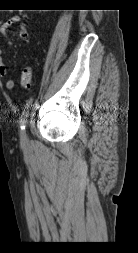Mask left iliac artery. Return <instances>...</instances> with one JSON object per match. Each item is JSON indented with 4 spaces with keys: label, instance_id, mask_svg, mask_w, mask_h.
I'll return each instance as SVG.
<instances>
[{
    "label": "left iliac artery",
    "instance_id": "1",
    "mask_svg": "<svg viewBox=\"0 0 138 253\" xmlns=\"http://www.w3.org/2000/svg\"><path fill=\"white\" fill-rule=\"evenodd\" d=\"M32 101H33L32 98H30L27 101L25 109L22 112V116H21V119H20V129H21V134H22L21 136H22L23 140H24V137H25L24 133H25V128H26L27 118L29 116V108L32 104Z\"/></svg>",
    "mask_w": 138,
    "mask_h": 253
}]
</instances>
